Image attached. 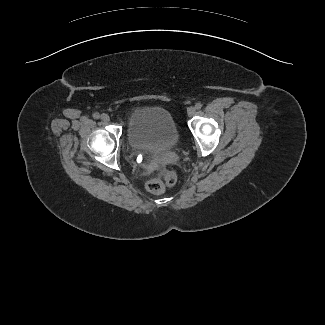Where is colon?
<instances>
[{
	"label": "colon",
	"instance_id": "obj_1",
	"mask_svg": "<svg viewBox=\"0 0 325 325\" xmlns=\"http://www.w3.org/2000/svg\"><path fill=\"white\" fill-rule=\"evenodd\" d=\"M177 173L175 170H169L164 179L150 178L146 181V189L155 194L164 193L168 188L175 185Z\"/></svg>",
	"mask_w": 325,
	"mask_h": 325
}]
</instances>
